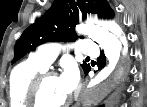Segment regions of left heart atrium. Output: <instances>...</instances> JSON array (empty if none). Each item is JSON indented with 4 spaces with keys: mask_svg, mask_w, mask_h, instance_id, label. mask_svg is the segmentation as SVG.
<instances>
[{
    "mask_svg": "<svg viewBox=\"0 0 147 107\" xmlns=\"http://www.w3.org/2000/svg\"><path fill=\"white\" fill-rule=\"evenodd\" d=\"M64 93L70 95L78 84V74L74 68H67L59 77Z\"/></svg>",
    "mask_w": 147,
    "mask_h": 107,
    "instance_id": "39dd6f15",
    "label": "left heart atrium"
}]
</instances>
